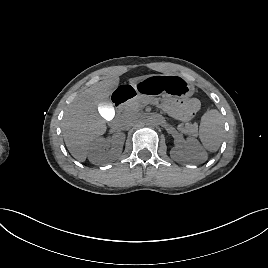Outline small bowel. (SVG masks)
I'll return each mask as SVG.
<instances>
[{"mask_svg":"<svg viewBox=\"0 0 268 268\" xmlns=\"http://www.w3.org/2000/svg\"><path fill=\"white\" fill-rule=\"evenodd\" d=\"M165 107L168 109L171 116L179 121L187 122L191 120L199 110V102L195 98L184 101L166 99Z\"/></svg>","mask_w":268,"mask_h":268,"instance_id":"c3829d8e","label":"small bowel"}]
</instances>
